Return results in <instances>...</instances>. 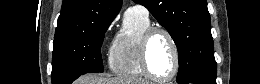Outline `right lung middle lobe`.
Here are the masks:
<instances>
[{
	"mask_svg": "<svg viewBox=\"0 0 260 84\" xmlns=\"http://www.w3.org/2000/svg\"><path fill=\"white\" fill-rule=\"evenodd\" d=\"M111 22L98 21L70 35L54 38L53 84H71L80 75L104 71L100 51Z\"/></svg>",
	"mask_w": 260,
	"mask_h": 84,
	"instance_id": "right-lung-middle-lobe-1",
	"label": "right lung middle lobe"
}]
</instances>
